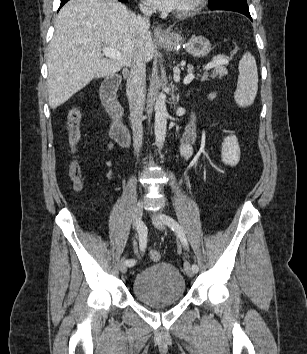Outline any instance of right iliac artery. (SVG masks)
I'll return each instance as SVG.
<instances>
[{"label":"right iliac artery","mask_w":307,"mask_h":354,"mask_svg":"<svg viewBox=\"0 0 307 354\" xmlns=\"http://www.w3.org/2000/svg\"><path fill=\"white\" fill-rule=\"evenodd\" d=\"M138 229V235H139V246L141 250H144L147 245V231L143 223H139L137 226ZM136 264V261L134 259H128L126 260V265L128 267H132Z\"/></svg>","instance_id":"right-iliac-artery-1"}]
</instances>
